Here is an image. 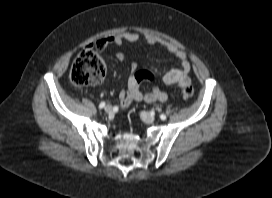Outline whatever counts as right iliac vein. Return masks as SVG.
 <instances>
[{"instance_id": "obj_1", "label": "right iliac vein", "mask_w": 272, "mask_h": 198, "mask_svg": "<svg viewBox=\"0 0 272 198\" xmlns=\"http://www.w3.org/2000/svg\"><path fill=\"white\" fill-rule=\"evenodd\" d=\"M104 110H105L106 113H111L112 110H113V108H112L111 105H106L105 108H104Z\"/></svg>"}]
</instances>
